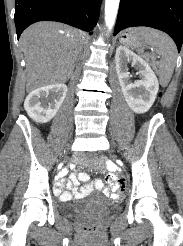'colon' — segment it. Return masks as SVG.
Listing matches in <instances>:
<instances>
[{
	"mask_svg": "<svg viewBox=\"0 0 183 246\" xmlns=\"http://www.w3.org/2000/svg\"><path fill=\"white\" fill-rule=\"evenodd\" d=\"M94 160L95 159V156L93 154V152H87L86 155H83V160ZM88 229H91L90 226L87 227Z\"/></svg>",
	"mask_w": 183,
	"mask_h": 246,
	"instance_id": "5ec220e1",
	"label": "colon"
}]
</instances>
